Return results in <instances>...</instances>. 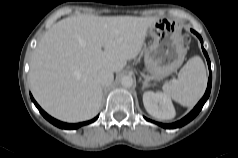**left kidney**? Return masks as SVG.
<instances>
[{
	"instance_id": "1",
	"label": "left kidney",
	"mask_w": 238,
	"mask_h": 158,
	"mask_svg": "<svg viewBox=\"0 0 238 158\" xmlns=\"http://www.w3.org/2000/svg\"><path fill=\"white\" fill-rule=\"evenodd\" d=\"M143 104L146 111L157 119L169 120L175 117V109L170 98L162 92H145Z\"/></svg>"
}]
</instances>
